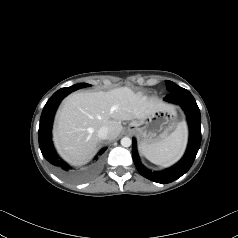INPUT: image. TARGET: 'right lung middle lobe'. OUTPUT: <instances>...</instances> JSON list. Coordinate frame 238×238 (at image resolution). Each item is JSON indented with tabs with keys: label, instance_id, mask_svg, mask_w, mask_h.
<instances>
[{
	"label": "right lung middle lobe",
	"instance_id": "1",
	"mask_svg": "<svg viewBox=\"0 0 238 238\" xmlns=\"http://www.w3.org/2000/svg\"><path fill=\"white\" fill-rule=\"evenodd\" d=\"M79 88H84V87H90L91 85L90 84H87V83H79V84H76Z\"/></svg>",
	"mask_w": 238,
	"mask_h": 238
}]
</instances>
